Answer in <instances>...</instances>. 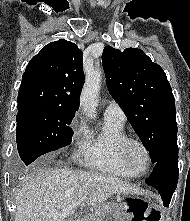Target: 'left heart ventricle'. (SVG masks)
I'll return each mask as SVG.
<instances>
[{
	"instance_id": "1",
	"label": "left heart ventricle",
	"mask_w": 190,
	"mask_h": 221,
	"mask_svg": "<svg viewBox=\"0 0 190 221\" xmlns=\"http://www.w3.org/2000/svg\"><path fill=\"white\" fill-rule=\"evenodd\" d=\"M130 159L138 170H143L147 164V157L143 149L138 145H133L130 149Z\"/></svg>"
}]
</instances>
